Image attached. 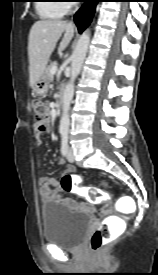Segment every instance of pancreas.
Here are the masks:
<instances>
[{
  "instance_id": "pancreas-1",
  "label": "pancreas",
  "mask_w": 158,
  "mask_h": 275,
  "mask_svg": "<svg viewBox=\"0 0 158 275\" xmlns=\"http://www.w3.org/2000/svg\"><path fill=\"white\" fill-rule=\"evenodd\" d=\"M53 66H56V62H52L46 70V74H47V77H48L49 81L53 80V74H51V69H52Z\"/></svg>"
}]
</instances>
